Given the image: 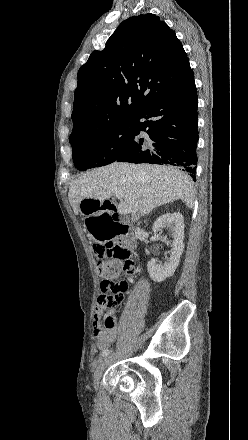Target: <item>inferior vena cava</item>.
<instances>
[{"instance_id": "1", "label": "inferior vena cava", "mask_w": 248, "mask_h": 440, "mask_svg": "<svg viewBox=\"0 0 248 440\" xmlns=\"http://www.w3.org/2000/svg\"><path fill=\"white\" fill-rule=\"evenodd\" d=\"M139 216L133 215L132 220L136 221L138 219Z\"/></svg>"}]
</instances>
